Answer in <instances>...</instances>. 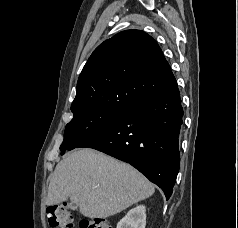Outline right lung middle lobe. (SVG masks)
<instances>
[{
    "mask_svg": "<svg viewBox=\"0 0 238 228\" xmlns=\"http://www.w3.org/2000/svg\"><path fill=\"white\" fill-rule=\"evenodd\" d=\"M128 107H90L73 112V119L66 125L62 154L77 148L113 123Z\"/></svg>",
    "mask_w": 238,
    "mask_h": 228,
    "instance_id": "obj_1",
    "label": "right lung middle lobe"
}]
</instances>
